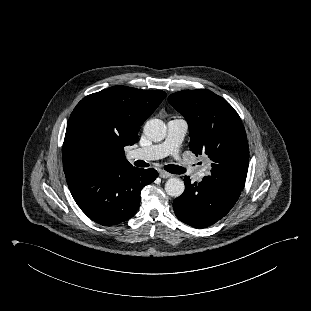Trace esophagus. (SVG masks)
<instances>
[{
    "label": "esophagus",
    "mask_w": 311,
    "mask_h": 311,
    "mask_svg": "<svg viewBox=\"0 0 311 311\" xmlns=\"http://www.w3.org/2000/svg\"><path fill=\"white\" fill-rule=\"evenodd\" d=\"M159 176L161 178H169V177H172V174H170V173H168L166 171L161 170V171H159Z\"/></svg>",
    "instance_id": "esophagus-1"
}]
</instances>
